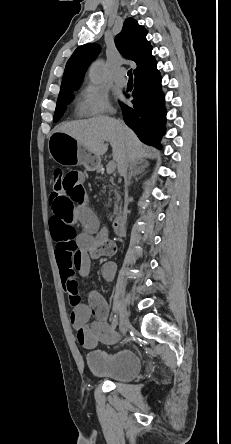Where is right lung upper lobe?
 <instances>
[{"instance_id": "obj_1", "label": "right lung upper lobe", "mask_w": 231, "mask_h": 444, "mask_svg": "<svg viewBox=\"0 0 231 444\" xmlns=\"http://www.w3.org/2000/svg\"><path fill=\"white\" fill-rule=\"evenodd\" d=\"M146 34L147 30L143 26L133 18H128L124 22L122 31L115 38V44L121 54L137 64L134 70L135 77L157 64L151 54L152 47L146 40ZM99 52L100 45L96 43L82 45L74 51L66 64L60 93L78 88L87 67Z\"/></svg>"}]
</instances>
